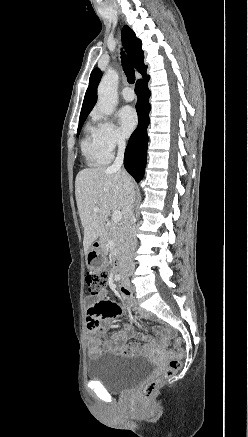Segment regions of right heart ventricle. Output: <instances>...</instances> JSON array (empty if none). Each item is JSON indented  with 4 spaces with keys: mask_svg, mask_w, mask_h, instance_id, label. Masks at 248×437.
<instances>
[{
    "mask_svg": "<svg viewBox=\"0 0 248 437\" xmlns=\"http://www.w3.org/2000/svg\"><path fill=\"white\" fill-rule=\"evenodd\" d=\"M81 150L84 158L90 166H102L109 161V157L102 151L96 135L95 126L87 124L84 129V137L81 142Z\"/></svg>",
    "mask_w": 248,
    "mask_h": 437,
    "instance_id": "e07e8e85",
    "label": "right heart ventricle"
}]
</instances>
